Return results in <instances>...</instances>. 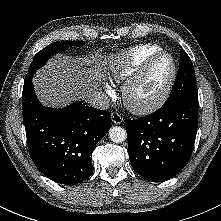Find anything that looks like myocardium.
Instances as JSON below:
<instances>
[{"label":"myocardium","instance_id":"1","mask_svg":"<svg viewBox=\"0 0 221 221\" xmlns=\"http://www.w3.org/2000/svg\"><path fill=\"white\" fill-rule=\"evenodd\" d=\"M168 56L171 59L172 62V71L171 75L169 77L168 82L162 89V91L159 93L158 96H156L151 101L141 103V104H135L130 101V92L132 88L135 86V84L147 73V71L150 69V67L153 65V63L163 57ZM178 75V65L173 57L172 54L166 52V51H158L154 54H152L150 57L146 59V61L131 75L129 76L123 83L121 88V96L124 104L133 112L137 114H148L156 111L159 109L168 99L170 96L172 89L175 85L176 79Z\"/></svg>","mask_w":221,"mask_h":221}]
</instances>
